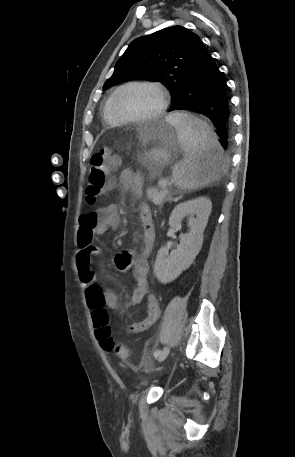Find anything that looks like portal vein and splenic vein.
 I'll list each match as a JSON object with an SVG mask.
<instances>
[{
	"mask_svg": "<svg viewBox=\"0 0 295 457\" xmlns=\"http://www.w3.org/2000/svg\"><path fill=\"white\" fill-rule=\"evenodd\" d=\"M159 184L162 185V186H166L167 185V180L162 179V180L159 181Z\"/></svg>",
	"mask_w": 295,
	"mask_h": 457,
	"instance_id": "portal-vein-and-splenic-vein-1",
	"label": "portal vein and splenic vein"
}]
</instances>
